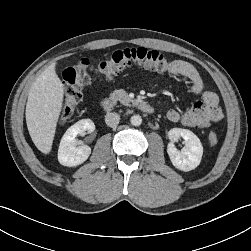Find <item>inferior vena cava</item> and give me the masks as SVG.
Here are the masks:
<instances>
[{
    "label": "inferior vena cava",
    "instance_id": "inferior-vena-cava-1",
    "mask_svg": "<svg viewBox=\"0 0 251 251\" xmlns=\"http://www.w3.org/2000/svg\"><path fill=\"white\" fill-rule=\"evenodd\" d=\"M120 121V116L117 113H108L105 116V122L110 127H115L118 125Z\"/></svg>",
    "mask_w": 251,
    "mask_h": 251
}]
</instances>
